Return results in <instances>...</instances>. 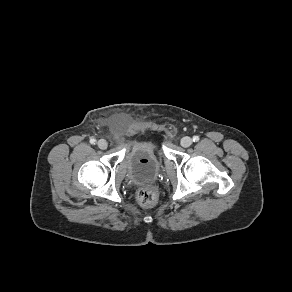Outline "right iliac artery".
Masks as SVG:
<instances>
[{
	"label": "right iliac artery",
	"instance_id": "obj_1",
	"mask_svg": "<svg viewBox=\"0 0 292 292\" xmlns=\"http://www.w3.org/2000/svg\"><path fill=\"white\" fill-rule=\"evenodd\" d=\"M90 143L91 144H95L96 143V140L94 138L90 139Z\"/></svg>",
	"mask_w": 292,
	"mask_h": 292
}]
</instances>
